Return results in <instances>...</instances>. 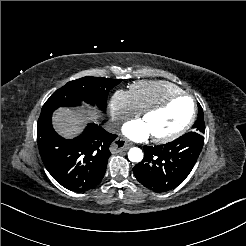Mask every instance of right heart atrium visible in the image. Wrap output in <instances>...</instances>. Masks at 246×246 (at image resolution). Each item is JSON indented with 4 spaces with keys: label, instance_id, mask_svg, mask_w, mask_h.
Segmentation results:
<instances>
[{
    "label": "right heart atrium",
    "instance_id": "right-heart-atrium-1",
    "mask_svg": "<svg viewBox=\"0 0 246 246\" xmlns=\"http://www.w3.org/2000/svg\"><path fill=\"white\" fill-rule=\"evenodd\" d=\"M108 108L113 120L127 119L135 114L129 93L120 89L113 93Z\"/></svg>",
    "mask_w": 246,
    "mask_h": 246
}]
</instances>
